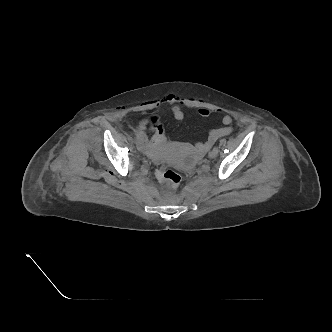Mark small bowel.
<instances>
[{
    "instance_id": "c3829d8e",
    "label": "small bowel",
    "mask_w": 332,
    "mask_h": 332,
    "mask_svg": "<svg viewBox=\"0 0 332 332\" xmlns=\"http://www.w3.org/2000/svg\"><path fill=\"white\" fill-rule=\"evenodd\" d=\"M161 103H167L171 105V110L176 120H183L185 118V112L182 108L183 100L180 97L170 94L166 96L164 100L155 102L154 106H158ZM198 112L199 115L204 118L210 115V111L206 108H200ZM222 123L224 125L222 128L212 129L209 131L205 142L196 144L195 148L199 154L207 151L219 138L227 136L232 132L233 129L230 126L232 123V117L230 115H224L222 118ZM147 124L148 120H142L139 125V131L143 133V131L146 130ZM163 143L159 142L154 136L149 142L146 143L144 151L147 154L153 155L155 150Z\"/></svg>"
}]
</instances>
